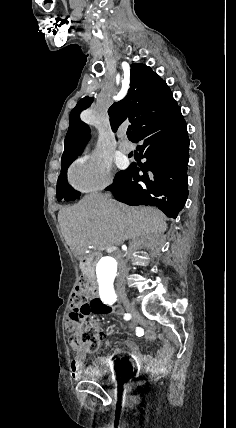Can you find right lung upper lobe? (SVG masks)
I'll return each instance as SVG.
<instances>
[{"instance_id": "right-lung-upper-lobe-1", "label": "right lung upper lobe", "mask_w": 236, "mask_h": 428, "mask_svg": "<svg viewBox=\"0 0 236 428\" xmlns=\"http://www.w3.org/2000/svg\"><path fill=\"white\" fill-rule=\"evenodd\" d=\"M131 83L127 96L115 102L109 109L112 130L117 128L129 118L133 129L129 138L151 121L170 112L177 106L173 95L167 86L152 69L141 63L131 65ZM93 98L84 97L70 113L69 129L64 141V152L61 158V167L66 169L80 154L89 140V128L79 118L82 110L88 108Z\"/></svg>"}]
</instances>
